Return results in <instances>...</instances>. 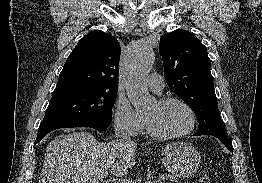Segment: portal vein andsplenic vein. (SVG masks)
I'll return each instance as SVG.
<instances>
[{
	"instance_id": "obj_1",
	"label": "portal vein and splenic vein",
	"mask_w": 262,
	"mask_h": 183,
	"mask_svg": "<svg viewBox=\"0 0 262 183\" xmlns=\"http://www.w3.org/2000/svg\"><path fill=\"white\" fill-rule=\"evenodd\" d=\"M99 178L101 179H106L108 177V172L105 171V172H102L99 176ZM110 181L112 183H134L133 181H130V180H124V179H110Z\"/></svg>"
}]
</instances>
